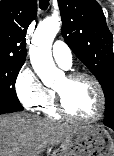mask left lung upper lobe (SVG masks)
<instances>
[{
	"label": "left lung upper lobe",
	"instance_id": "5c2ea615",
	"mask_svg": "<svg viewBox=\"0 0 114 156\" xmlns=\"http://www.w3.org/2000/svg\"><path fill=\"white\" fill-rule=\"evenodd\" d=\"M62 35L75 55L101 84L105 95L106 126L114 125L113 36L95 0H58Z\"/></svg>",
	"mask_w": 114,
	"mask_h": 156
}]
</instances>
